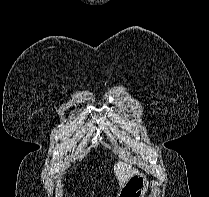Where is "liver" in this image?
<instances>
[{
    "instance_id": "6515ba94",
    "label": "liver",
    "mask_w": 209,
    "mask_h": 197,
    "mask_svg": "<svg viewBox=\"0 0 209 197\" xmlns=\"http://www.w3.org/2000/svg\"><path fill=\"white\" fill-rule=\"evenodd\" d=\"M113 170L120 186H122L129 178L138 173L137 169L121 161L114 164Z\"/></svg>"
}]
</instances>
